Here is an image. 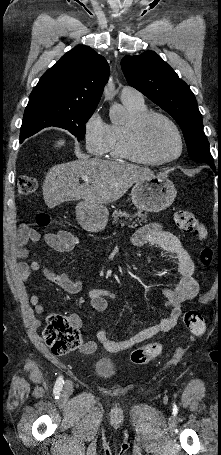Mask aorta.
<instances>
[{"instance_id": "1", "label": "aorta", "mask_w": 221, "mask_h": 455, "mask_svg": "<svg viewBox=\"0 0 221 455\" xmlns=\"http://www.w3.org/2000/svg\"><path fill=\"white\" fill-rule=\"evenodd\" d=\"M104 96H105L106 100H109V101L113 100L114 83L112 80H109L107 85L105 86ZM109 116H110L111 121L116 124H122L126 120V113H125L124 108L120 104L115 103V102L110 107Z\"/></svg>"}]
</instances>
